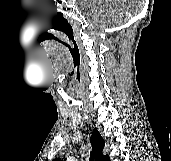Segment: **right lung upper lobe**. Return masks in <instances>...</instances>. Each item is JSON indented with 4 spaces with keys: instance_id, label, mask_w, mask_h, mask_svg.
<instances>
[{
    "instance_id": "cb5924a9",
    "label": "right lung upper lobe",
    "mask_w": 171,
    "mask_h": 161,
    "mask_svg": "<svg viewBox=\"0 0 171 161\" xmlns=\"http://www.w3.org/2000/svg\"><path fill=\"white\" fill-rule=\"evenodd\" d=\"M90 142L92 144V151L95 157V161H110V157L108 155H103V148L105 146V142L96 128L93 130L92 136L90 138ZM53 161H62V160L56 158Z\"/></svg>"
}]
</instances>
